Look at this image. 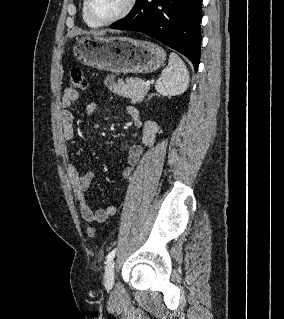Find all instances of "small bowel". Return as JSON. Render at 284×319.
<instances>
[{
  "instance_id": "obj_1",
  "label": "small bowel",
  "mask_w": 284,
  "mask_h": 319,
  "mask_svg": "<svg viewBox=\"0 0 284 319\" xmlns=\"http://www.w3.org/2000/svg\"><path fill=\"white\" fill-rule=\"evenodd\" d=\"M77 100L78 93L75 89L66 88L64 90L60 103V120L63 137L67 141L74 137V118L71 108ZM96 108L97 105L95 103H90L87 106V112L93 113ZM127 110L135 126L142 129V141L140 144H134L128 149L127 164L122 170V176L126 180L131 178L133 170L140 162L144 151L154 146L157 134L159 133V127L155 122H141L138 109L129 106ZM68 174L73 186L75 200L80 208V214L83 220L86 222L103 223L116 213V207L114 205L94 210L87 203L86 192L89 190L94 179V173L92 171L81 174L76 166L71 164L68 169Z\"/></svg>"
}]
</instances>
